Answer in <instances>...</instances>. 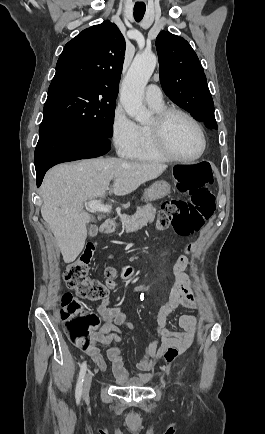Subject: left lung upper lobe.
I'll list each match as a JSON object with an SVG mask.
<instances>
[{"label": "left lung upper lobe", "instance_id": "1", "mask_svg": "<svg viewBox=\"0 0 265 434\" xmlns=\"http://www.w3.org/2000/svg\"><path fill=\"white\" fill-rule=\"evenodd\" d=\"M162 89L207 128L216 129L214 103L201 63L182 37L162 31L156 39Z\"/></svg>", "mask_w": 265, "mask_h": 434}]
</instances>
